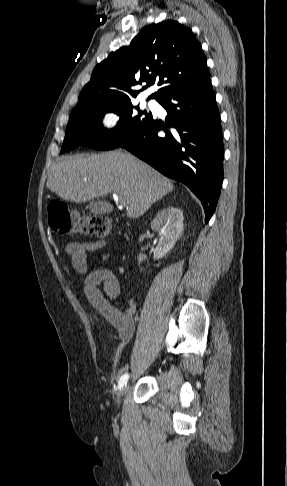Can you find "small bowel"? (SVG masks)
I'll list each match as a JSON object with an SVG mask.
<instances>
[{
    "label": "small bowel",
    "mask_w": 287,
    "mask_h": 486,
    "mask_svg": "<svg viewBox=\"0 0 287 486\" xmlns=\"http://www.w3.org/2000/svg\"><path fill=\"white\" fill-rule=\"evenodd\" d=\"M106 240L97 241H71L65 246V252L71 259L74 270L85 275L84 293L90 304L98 310L107 323L118 333L124 342L130 340L135 332L134 315L136 304L128 300L122 307L113 305L110 300H117L121 293V287L117 276L106 268L95 269L88 272L87 254L108 246ZM117 249L113 247V251ZM111 252L103 255L107 260ZM103 286V290L100 286Z\"/></svg>",
    "instance_id": "1"
}]
</instances>
